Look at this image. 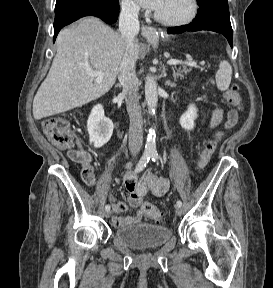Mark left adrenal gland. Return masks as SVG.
Returning <instances> with one entry per match:
<instances>
[{
	"label": "left adrenal gland",
	"instance_id": "obj_1",
	"mask_svg": "<svg viewBox=\"0 0 273 288\" xmlns=\"http://www.w3.org/2000/svg\"><path fill=\"white\" fill-rule=\"evenodd\" d=\"M166 68H164V70H163V77H166ZM165 85L166 86H170V87H175V83H172L170 80H167L166 82H165Z\"/></svg>",
	"mask_w": 273,
	"mask_h": 288
}]
</instances>
